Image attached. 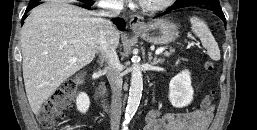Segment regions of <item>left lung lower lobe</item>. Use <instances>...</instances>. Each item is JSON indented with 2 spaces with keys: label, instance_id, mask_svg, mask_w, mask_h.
I'll use <instances>...</instances> for the list:
<instances>
[{
  "label": "left lung lower lobe",
  "instance_id": "0a47b994",
  "mask_svg": "<svg viewBox=\"0 0 257 130\" xmlns=\"http://www.w3.org/2000/svg\"><path fill=\"white\" fill-rule=\"evenodd\" d=\"M197 4H202L204 5V8L207 9V10H210V11H213L216 15H218L223 21L224 23L226 24V19H225V16L222 12V9L220 7V4H219V1L218 0H198L197 2H195ZM184 5H176V4H173L168 10H166L165 12L157 15L158 16H162V15H165L167 12L169 11H173V10H176V9H179L181 7H183Z\"/></svg>",
  "mask_w": 257,
  "mask_h": 130
}]
</instances>
